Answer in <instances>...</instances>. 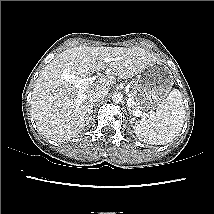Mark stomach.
<instances>
[{"label": "stomach", "mask_w": 214, "mask_h": 214, "mask_svg": "<svg viewBox=\"0 0 214 214\" xmlns=\"http://www.w3.org/2000/svg\"><path fill=\"white\" fill-rule=\"evenodd\" d=\"M173 84V75L167 65L161 61L153 62L135 79V107L144 111L155 109L167 98Z\"/></svg>", "instance_id": "0dacf381"}]
</instances>
